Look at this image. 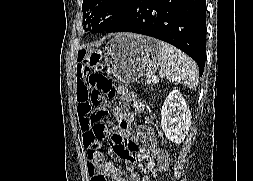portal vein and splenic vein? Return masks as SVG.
<instances>
[{
  "instance_id": "1",
  "label": "portal vein and splenic vein",
  "mask_w": 253,
  "mask_h": 181,
  "mask_svg": "<svg viewBox=\"0 0 253 181\" xmlns=\"http://www.w3.org/2000/svg\"><path fill=\"white\" fill-rule=\"evenodd\" d=\"M149 82L158 83L159 82V78L156 77V76H152L151 79L149 80Z\"/></svg>"
}]
</instances>
